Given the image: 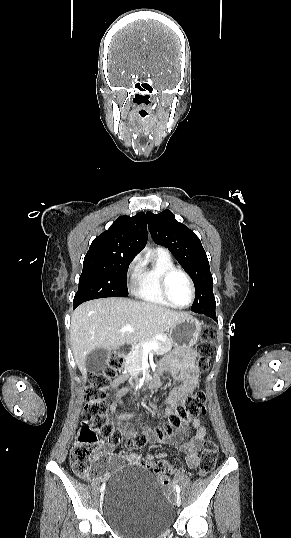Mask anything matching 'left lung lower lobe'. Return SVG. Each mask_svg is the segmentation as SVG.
<instances>
[{"mask_svg": "<svg viewBox=\"0 0 291 538\" xmlns=\"http://www.w3.org/2000/svg\"><path fill=\"white\" fill-rule=\"evenodd\" d=\"M215 306H216V304H211V305L205 306L204 308L203 307H200V308L192 307L191 310L193 312H196V313L205 314V315L213 318L214 320H216Z\"/></svg>", "mask_w": 291, "mask_h": 538, "instance_id": "1", "label": "left lung lower lobe"}]
</instances>
